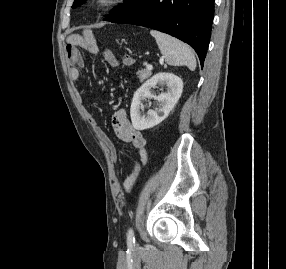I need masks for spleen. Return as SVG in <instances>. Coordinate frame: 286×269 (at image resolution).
Here are the masks:
<instances>
[{
    "label": "spleen",
    "mask_w": 286,
    "mask_h": 269,
    "mask_svg": "<svg viewBox=\"0 0 286 269\" xmlns=\"http://www.w3.org/2000/svg\"><path fill=\"white\" fill-rule=\"evenodd\" d=\"M150 34L155 38L167 64L172 66L185 65L191 71L195 70L196 58L188 45L159 31L151 30Z\"/></svg>",
    "instance_id": "1"
}]
</instances>
